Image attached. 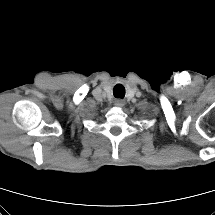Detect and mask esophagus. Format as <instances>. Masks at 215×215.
I'll use <instances>...</instances> for the list:
<instances>
[{
    "mask_svg": "<svg viewBox=\"0 0 215 215\" xmlns=\"http://www.w3.org/2000/svg\"><path fill=\"white\" fill-rule=\"evenodd\" d=\"M124 103L125 102L123 100L118 99L115 101V106L122 107L124 105Z\"/></svg>",
    "mask_w": 215,
    "mask_h": 215,
    "instance_id": "obj_1",
    "label": "esophagus"
}]
</instances>
